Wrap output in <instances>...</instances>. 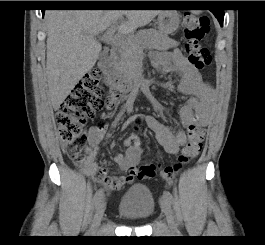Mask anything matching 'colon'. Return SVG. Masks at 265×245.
<instances>
[{"instance_id":"colon-1","label":"colon","mask_w":265,"mask_h":245,"mask_svg":"<svg viewBox=\"0 0 265 245\" xmlns=\"http://www.w3.org/2000/svg\"><path fill=\"white\" fill-rule=\"evenodd\" d=\"M185 32V52L191 64L205 69L212 63L209 50L201 45L209 26L205 17L185 16L183 20ZM102 71L94 67L64 99L56 113L58 134L62 147L69 158L76 164L84 162L83 150L86 145L87 121L97 112H111L117 104V95L107 92L101 85ZM138 129L141 117L134 119ZM205 128L196 124L189 129L188 140L181 149L177 161L160 168L154 163H146L136 170L139 179H153L159 173L168 186H173L176 178L185 166L193 162L201 153Z\"/></svg>"}]
</instances>
